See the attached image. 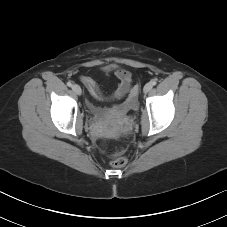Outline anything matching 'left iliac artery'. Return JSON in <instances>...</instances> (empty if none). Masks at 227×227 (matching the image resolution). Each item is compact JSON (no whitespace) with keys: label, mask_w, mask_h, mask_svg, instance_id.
Here are the masks:
<instances>
[{"label":"left iliac artery","mask_w":227,"mask_h":227,"mask_svg":"<svg viewBox=\"0 0 227 227\" xmlns=\"http://www.w3.org/2000/svg\"><path fill=\"white\" fill-rule=\"evenodd\" d=\"M151 84L154 86V85L157 84V81L154 79V80L151 81Z\"/></svg>","instance_id":"left-iliac-artery-1"}]
</instances>
